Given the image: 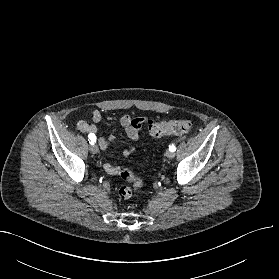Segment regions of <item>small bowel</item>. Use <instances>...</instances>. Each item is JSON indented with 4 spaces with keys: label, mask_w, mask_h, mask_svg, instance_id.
<instances>
[{
    "label": "small bowel",
    "mask_w": 279,
    "mask_h": 279,
    "mask_svg": "<svg viewBox=\"0 0 279 279\" xmlns=\"http://www.w3.org/2000/svg\"><path fill=\"white\" fill-rule=\"evenodd\" d=\"M92 122H87L85 120H80L77 123V128L79 131L89 134H94L97 136L98 144L102 150H106L111 142L114 140V136L110 135L105 137L99 133L98 124L102 121V114L98 110H94L91 115ZM109 120H118L119 123L124 127L127 136L132 141H138L140 132L144 125L148 122L145 117H132L129 114L122 115L120 117L110 116ZM134 152L133 147H127L123 151V156L128 157ZM104 170L110 175H117L120 171L119 166L103 161Z\"/></svg>",
    "instance_id": "obj_1"
}]
</instances>
